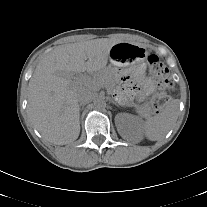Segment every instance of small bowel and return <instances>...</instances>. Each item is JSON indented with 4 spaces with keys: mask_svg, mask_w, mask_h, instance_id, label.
Listing matches in <instances>:
<instances>
[{
    "mask_svg": "<svg viewBox=\"0 0 207 207\" xmlns=\"http://www.w3.org/2000/svg\"><path fill=\"white\" fill-rule=\"evenodd\" d=\"M154 89H155V84L152 80H150L148 78L141 79L140 93L142 95L148 94V93L152 92Z\"/></svg>",
    "mask_w": 207,
    "mask_h": 207,
    "instance_id": "c3829d8e",
    "label": "small bowel"
}]
</instances>
